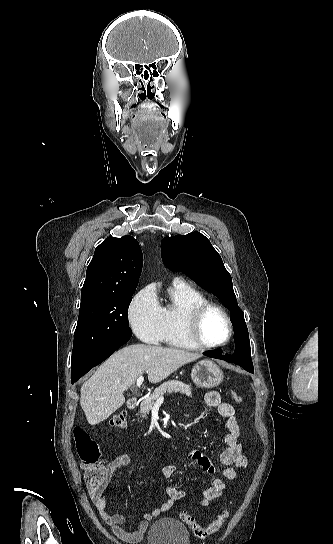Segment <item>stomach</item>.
Returning <instances> with one entry per match:
<instances>
[{"mask_svg": "<svg viewBox=\"0 0 333 544\" xmlns=\"http://www.w3.org/2000/svg\"><path fill=\"white\" fill-rule=\"evenodd\" d=\"M191 378L201 388H214L222 382L223 373L213 361L202 360L192 368Z\"/></svg>", "mask_w": 333, "mask_h": 544, "instance_id": "obj_1", "label": "stomach"}]
</instances>
